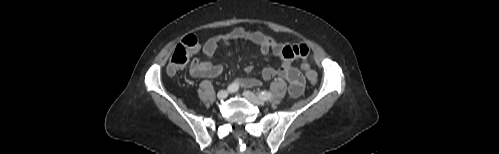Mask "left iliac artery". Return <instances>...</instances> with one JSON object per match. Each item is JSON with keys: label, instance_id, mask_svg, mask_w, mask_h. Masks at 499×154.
Returning <instances> with one entry per match:
<instances>
[{"label": "left iliac artery", "instance_id": "1", "mask_svg": "<svg viewBox=\"0 0 499 154\" xmlns=\"http://www.w3.org/2000/svg\"><path fill=\"white\" fill-rule=\"evenodd\" d=\"M259 97L262 99V100H269L271 97H272V93L271 92H268V91H263V92H260L259 94Z\"/></svg>", "mask_w": 499, "mask_h": 154}]
</instances>
